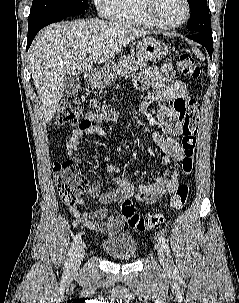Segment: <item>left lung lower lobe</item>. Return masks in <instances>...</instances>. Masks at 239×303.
Masks as SVG:
<instances>
[{
  "instance_id": "1",
  "label": "left lung lower lobe",
  "mask_w": 239,
  "mask_h": 303,
  "mask_svg": "<svg viewBox=\"0 0 239 303\" xmlns=\"http://www.w3.org/2000/svg\"><path fill=\"white\" fill-rule=\"evenodd\" d=\"M189 39H192L195 42L202 44L208 51L210 58H212L213 52V38L212 34L209 33H193L187 35Z\"/></svg>"
}]
</instances>
